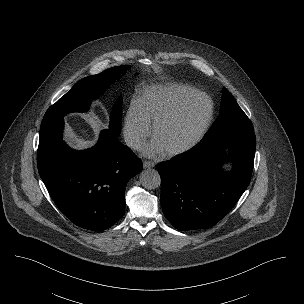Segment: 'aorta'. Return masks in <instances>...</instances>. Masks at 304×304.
Instances as JSON below:
<instances>
[{
    "mask_svg": "<svg viewBox=\"0 0 304 304\" xmlns=\"http://www.w3.org/2000/svg\"><path fill=\"white\" fill-rule=\"evenodd\" d=\"M140 182L144 188L151 190L160 186L161 178L156 170L146 169L140 174Z\"/></svg>",
    "mask_w": 304,
    "mask_h": 304,
    "instance_id": "obj_1",
    "label": "aorta"
}]
</instances>
